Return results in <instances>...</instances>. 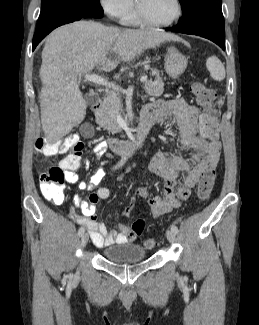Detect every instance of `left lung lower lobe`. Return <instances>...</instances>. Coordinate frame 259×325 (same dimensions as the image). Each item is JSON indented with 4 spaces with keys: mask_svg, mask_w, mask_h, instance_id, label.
I'll list each match as a JSON object with an SVG mask.
<instances>
[{
    "mask_svg": "<svg viewBox=\"0 0 259 325\" xmlns=\"http://www.w3.org/2000/svg\"><path fill=\"white\" fill-rule=\"evenodd\" d=\"M224 28L222 10L202 6L185 20L179 21L176 26L165 28V30L201 36L215 42L225 50Z\"/></svg>",
    "mask_w": 259,
    "mask_h": 325,
    "instance_id": "0a47b994",
    "label": "left lung lower lobe"
}]
</instances>
